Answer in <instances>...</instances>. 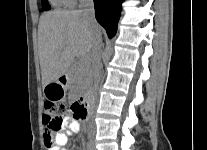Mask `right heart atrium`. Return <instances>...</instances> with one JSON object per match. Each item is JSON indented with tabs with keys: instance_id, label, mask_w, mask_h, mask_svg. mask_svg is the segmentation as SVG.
<instances>
[{
	"instance_id": "obj_1",
	"label": "right heart atrium",
	"mask_w": 207,
	"mask_h": 150,
	"mask_svg": "<svg viewBox=\"0 0 207 150\" xmlns=\"http://www.w3.org/2000/svg\"><path fill=\"white\" fill-rule=\"evenodd\" d=\"M73 3L75 2V1H77V0H71Z\"/></svg>"
}]
</instances>
